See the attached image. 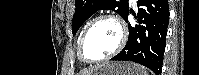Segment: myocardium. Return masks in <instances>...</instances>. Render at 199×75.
<instances>
[{
    "label": "myocardium",
    "instance_id": "f54148a6",
    "mask_svg": "<svg viewBox=\"0 0 199 75\" xmlns=\"http://www.w3.org/2000/svg\"><path fill=\"white\" fill-rule=\"evenodd\" d=\"M100 21H111L112 23H114L116 25V27L119 30V41H118V44L115 47V49L113 51H111L110 53H108L98 59H88L83 54V43H84V40H85L89 30L96 23H98ZM126 41H127V30H126V27H125L123 21L115 15L102 14V15H99V16L93 18L92 20H90L89 23L85 26V28L82 31V33L79 37V40H78L77 54H78L80 61L83 63H88V64L99 63V62L108 60V59L112 58L113 56L117 55L124 47Z\"/></svg>",
    "mask_w": 199,
    "mask_h": 75
}]
</instances>
